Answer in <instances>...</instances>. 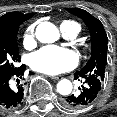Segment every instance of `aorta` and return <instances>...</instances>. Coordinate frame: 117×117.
I'll list each match as a JSON object with an SVG mask.
<instances>
[{"instance_id": "1", "label": "aorta", "mask_w": 117, "mask_h": 117, "mask_svg": "<svg viewBox=\"0 0 117 117\" xmlns=\"http://www.w3.org/2000/svg\"><path fill=\"white\" fill-rule=\"evenodd\" d=\"M60 37L58 28L50 22H41L36 28V38L42 43H53ZM70 80L63 79L57 84V91L61 95H69L72 92Z\"/></svg>"}]
</instances>
